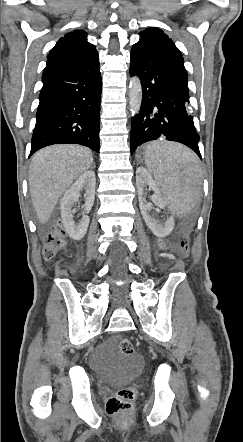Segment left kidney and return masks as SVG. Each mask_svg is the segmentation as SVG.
Here are the masks:
<instances>
[{
  "label": "left kidney",
  "mask_w": 243,
  "mask_h": 442,
  "mask_svg": "<svg viewBox=\"0 0 243 442\" xmlns=\"http://www.w3.org/2000/svg\"><path fill=\"white\" fill-rule=\"evenodd\" d=\"M136 186L139 194V207L142 214L143 219L145 220L147 226L152 231V233L162 238V235H165L166 233H171L175 226L174 216L171 214V216L165 221L164 224L159 223L153 215H151V210L153 209L152 203H146L144 202V199L142 197L144 193V189L146 185L149 187L155 189L157 192L152 196V202L160 207L163 208L166 205H169L167 200L163 198L160 195V192L158 191L156 187V183L153 180L152 176L149 174V172L144 167H139L136 171Z\"/></svg>",
  "instance_id": "obj_1"
}]
</instances>
